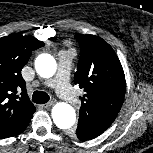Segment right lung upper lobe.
Returning <instances> with one entry per match:
<instances>
[{
  "mask_svg": "<svg viewBox=\"0 0 153 153\" xmlns=\"http://www.w3.org/2000/svg\"><path fill=\"white\" fill-rule=\"evenodd\" d=\"M43 46L42 41L19 34L0 38V138L15 134L35 112L21 70L32 51Z\"/></svg>",
  "mask_w": 153,
  "mask_h": 153,
  "instance_id": "1",
  "label": "right lung upper lobe"
}]
</instances>
